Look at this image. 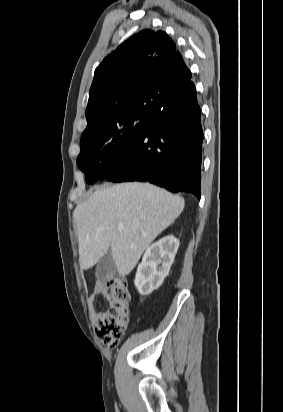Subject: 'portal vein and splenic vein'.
Instances as JSON below:
<instances>
[{
  "instance_id": "portal-vein-and-splenic-vein-1",
  "label": "portal vein and splenic vein",
  "mask_w": 283,
  "mask_h": 412,
  "mask_svg": "<svg viewBox=\"0 0 283 412\" xmlns=\"http://www.w3.org/2000/svg\"><path fill=\"white\" fill-rule=\"evenodd\" d=\"M118 228L122 229L123 228V224H118Z\"/></svg>"
}]
</instances>
